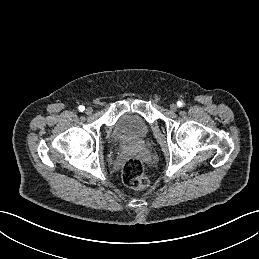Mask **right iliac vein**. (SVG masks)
I'll list each match as a JSON object with an SVG mask.
<instances>
[{
  "instance_id": "63e3f726",
  "label": "right iliac vein",
  "mask_w": 259,
  "mask_h": 259,
  "mask_svg": "<svg viewBox=\"0 0 259 259\" xmlns=\"http://www.w3.org/2000/svg\"><path fill=\"white\" fill-rule=\"evenodd\" d=\"M85 112L87 115H90V114H92L93 109L91 107H88Z\"/></svg>"
}]
</instances>
